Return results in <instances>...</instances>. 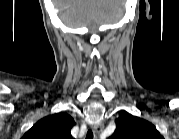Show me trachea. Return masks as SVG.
Masks as SVG:
<instances>
[{
	"label": "trachea",
	"mask_w": 179,
	"mask_h": 139,
	"mask_svg": "<svg viewBox=\"0 0 179 139\" xmlns=\"http://www.w3.org/2000/svg\"><path fill=\"white\" fill-rule=\"evenodd\" d=\"M86 139H93V133L91 130L87 132Z\"/></svg>",
	"instance_id": "obj_1"
}]
</instances>
